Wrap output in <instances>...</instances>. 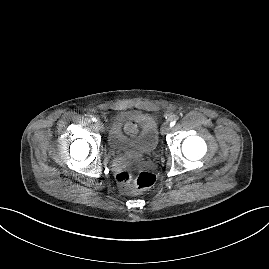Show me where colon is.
I'll use <instances>...</instances> for the list:
<instances>
[{
    "label": "colon",
    "instance_id": "obj_1",
    "mask_svg": "<svg viewBox=\"0 0 269 269\" xmlns=\"http://www.w3.org/2000/svg\"><path fill=\"white\" fill-rule=\"evenodd\" d=\"M116 180L128 193H137L151 188L156 182V175L150 171L138 172L133 167H126L117 172Z\"/></svg>",
    "mask_w": 269,
    "mask_h": 269
}]
</instances>
